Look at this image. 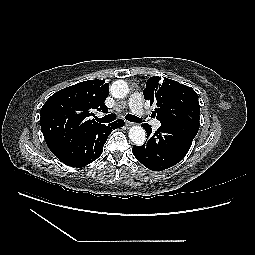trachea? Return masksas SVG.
I'll use <instances>...</instances> for the list:
<instances>
[{
  "mask_svg": "<svg viewBox=\"0 0 255 255\" xmlns=\"http://www.w3.org/2000/svg\"><path fill=\"white\" fill-rule=\"evenodd\" d=\"M125 118L130 122H137V123L143 122L142 119H140V118H138L134 115H131V114H127L125 116ZM95 119L100 123H110L115 119V115L114 114H109V115H106L105 117H102V118L95 117Z\"/></svg>",
  "mask_w": 255,
  "mask_h": 255,
  "instance_id": "3493384b",
  "label": "trachea"
}]
</instances>
